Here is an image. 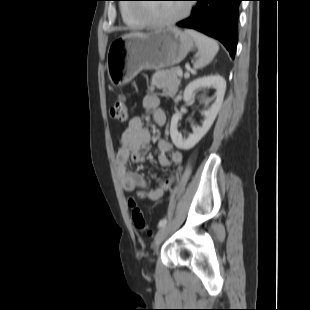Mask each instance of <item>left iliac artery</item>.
<instances>
[{"instance_id": "1", "label": "left iliac artery", "mask_w": 310, "mask_h": 310, "mask_svg": "<svg viewBox=\"0 0 310 310\" xmlns=\"http://www.w3.org/2000/svg\"><path fill=\"white\" fill-rule=\"evenodd\" d=\"M167 224V220L166 219H162L159 221L158 223V227L161 228L163 226H165Z\"/></svg>"}]
</instances>
